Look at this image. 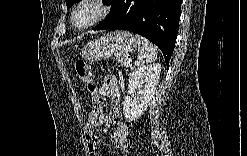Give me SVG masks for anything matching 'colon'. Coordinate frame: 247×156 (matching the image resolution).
I'll return each mask as SVG.
<instances>
[{"mask_svg": "<svg viewBox=\"0 0 247 156\" xmlns=\"http://www.w3.org/2000/svg\"><path fill=\"white\" fill-rule=\"evenodd\" d=\"M75 70L77 77L85 85L88 93L92 96V103L94 104L93 107H91V112H100L103 103H106V98H99L97 85L90 64L84 60H78L75 63Z\"/></svg>", "mask_w": 247, "mask_h": 156, "instance_id": "5ec220e1", "label": "colon"}]
</instances>
